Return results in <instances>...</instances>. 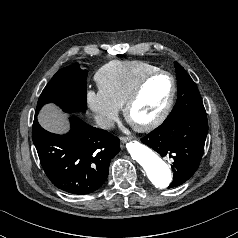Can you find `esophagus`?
Masks as SVG:
<instances>
[{
    "instance_id": "1",
    "label": "esophagus",
    "mask_w": 238,
    "mask_h": 238,
    "mask_svg": "<svg viewBox=\"0 0 238 238\" xmlns=\"http://www.w3.org/2000/svg\"><path fill=\"white\" fill-rule=\"evenodd\" d=\"M120 140H121L122 143H125L129 140V138L125 137V136H122V137H120Z\"/></svg>"
}]
</instances>
